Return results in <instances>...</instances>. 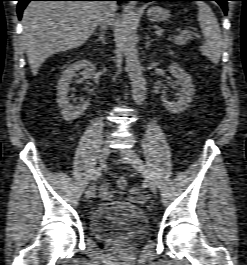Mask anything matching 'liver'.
Wrapping results in <instances>:
<instances>
[{
	"label": "liver",
	"instance_id": "obj_1",
	"mask_svg": "<svg viewBox=\"0 0 247 265\" xmlns=\"http://www.w3.org/2000/svg\"><path fill=\"white\" fill-rule=\"evenodd\" d=\"M103 8V2H30L22 17V40L33 76L50 56L82 46L96 29Z\"/></svg>",
	"mask_w": 247,
	"mask_h": 265
}]
</instances>
